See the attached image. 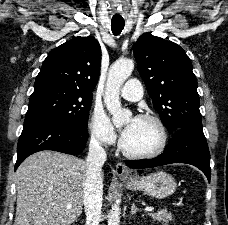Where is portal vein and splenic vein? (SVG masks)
Here are the masks:
<instances>
[{
    "mask_svg": "<svg viewBox=\"0 0 228 225\" xmlns=\"http://www.w3.org/2000/svg\"><path fill=\"white\" fill-rule=\"evenodd\" d=\"M183 202H174V207H183ZM145 211H154L153 207H146Z\"/></svg>",
    "mask_w": 228,
    "mask_h": 225,
    "instance_id": "1",
    "label": "portal vein and splenic vein"
}]
</instances>
